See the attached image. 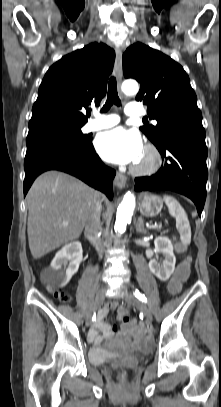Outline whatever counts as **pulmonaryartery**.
Returning a JSON list of instances; mask_svg holds the SVG:
<instances>
[{
  "mask_svg": "<svg viewBox=\"0 0 221 407\" xmlns=\"http://www.w3.org/2000/svg\"><path fill=\"white\" fill-rule=\"evenodd\" d=\"M125 114L130 117H138L144 115V110L137 103H129L125 108ZM119 121L120 118L116 114L102 115L95 111L94 118L86 124L85 130L91 132L110 128L118 124Z\"/></svg>",
  "mask_w": 221,
  "mask_h": 407,
  "instance_id": "1",
  "label": "pulmonary artery"
}]
</instances>
